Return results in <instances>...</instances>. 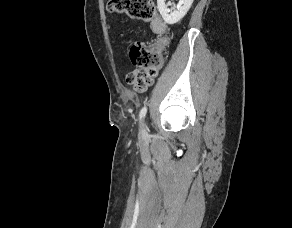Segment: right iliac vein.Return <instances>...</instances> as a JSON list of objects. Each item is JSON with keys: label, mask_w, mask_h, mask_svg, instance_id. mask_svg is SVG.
<instances>
[{"label": "right iliac vein", "mask_w": 292, "mask_h": 228, "mask_svg": "<svg viewBox=\"0 0 292 228\" xmlns=\"http://www.w3.org/2000/svg\"><path fill=\"white\" fill-rule=\"evenodd\" d=\"M144 134H145V128L143 126L142 129H141V135H144Z\"/></svg>", "instance_id": "right-iliac-vein-1"}]
</instances>
